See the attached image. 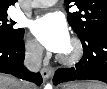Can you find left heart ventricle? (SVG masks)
Returning a JSON list of instances; mask_svg holds the SVG:
<instances>
[{
  "label": "left heart ventricle",
  "mask_w": 107,
  "mask_h": 89,
  "mask_svg": "<svg viewBox=\"0 0 107 89\" xmlns=\"http://www.w3.org/2000/svg\"><path fill=\"white\" fill-rule=\"evenodd\" d=\"M70 51V44H69V46L67 47V49L62 53V54H66V53H68Z\"/></svg>",
  "instance_id": "b2bd125f"
}]
</instances>
